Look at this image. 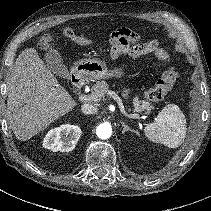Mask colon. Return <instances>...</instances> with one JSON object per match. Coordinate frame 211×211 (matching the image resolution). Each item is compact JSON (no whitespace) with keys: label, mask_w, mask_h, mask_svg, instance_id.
I'll return each mask as SVG.
<instances>
[{"label":"colon","mask_w":211,"mask_h":211,"mask_svg":"<svg viewBox=\"0 0 211 211\" xmlns=\"http://www.w3.org/2000/svg\"><path fill=\"white\" fill-rule=\"evenodd\" d=\"M63 34L78 44H83L85 41L82 36L68 27L63 29ZM138 39V35L129 30H118L111 43V58H116L120 53H129L130 55L137 56L153 52L160 60H169L167 52L161 49L156 41L139 43ZM38 47L44 52L50 51L53 48L51 36L48 34L43 35L38 41ZM177 77V69L173 66H169L162 77L157 80L155 86L145 93L146 100L150 102H158L162 100L173 87Z\"/></svg>","instance_id":"obj_1"}]
</instances>
